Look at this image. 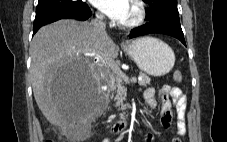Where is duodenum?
I'll return each instance as SVG.
<instances>
[{"instance_id":"duodenum-1","label":"duodenum","mask_w":227,"mask_h":142,"mask_svg":"<svg viewBox=\"0 0 227 142\" xmlns=\"http://www.w3.org/2000/svg\"><path fill=\"white\" fill-rule=\"evenodd\" d=\"M130 129V123L127 120H119L111 126L113 133H123Z\"/></svg>"}]
</instances>
